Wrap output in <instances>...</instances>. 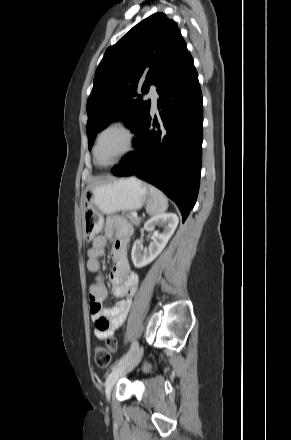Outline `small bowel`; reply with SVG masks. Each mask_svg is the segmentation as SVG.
Wrapping results in <instances>:
<instances>
[{"label":"small bowel","instance_id":"obj_1","mask_svg":"<svg viewBox=\"0 0 291 440\" xmlns=\"http://www.w3.org/2000/svg\"><path fill=\"white\" fill-rule=\"evenodd\" d=\"M130 238L131 227L125 220L109 218L104 227V235L96 237L87 250L86 266L88 270L99 273L101 270L99 258L104 253L107 241L112 240L113 255L117 262L116 268L110 274V281L113 285L112 295L117 298L124 297L113 308L102 309L101 302L107 295L106 285L100 278L90 285V312L94 318L95 337L97 339H105L111 336L122 325L138 288V276L130 271L126 253V246L130 242ZM103 319H107L109 324H103ZM144 370L147 372L152 371L153 364H148L144 367Z\"/></svg>","mask_w":291,"mask_h":440}]
</instances>
